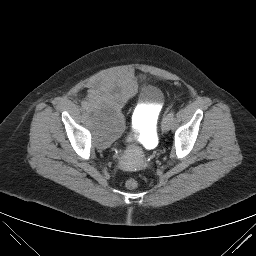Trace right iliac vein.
Here are the masks:
<instances>
[{
    "label": "right iliac vein",
    "mask_w": 256,
    "mask_h": 256,
    "mask_svg": "<svg viewBox=\"0 0 256 256\" xmlns=\"http://www.w3.org/2000/svg\"><path fill=\"white\" fill-rule=\"evenodd\" d=\"M85 113H86L87 115H90V114L92 113V110H91L90 108H87V109L85 110Z\"/></svg>",
    "instance_id": "1"
}]
</instances>
